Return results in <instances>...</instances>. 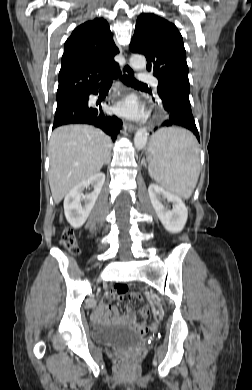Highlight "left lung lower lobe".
<instances>
[{
    "label": "left lung lower lobe",
    "mask_w": 252,
    "mask_h": 390,
    "mask_svg": "<svg viewBox=\"0 0 252 390\" xmlns=\"http://www.w3.org/2000/svg\"><path fill=\"white\" fill-rule=\"evenodd\" d=\"M158 98L164 109L170 114L161 126H181L194 133L200 142L198 130L191 110L189 93L172 87H159ZM156 99V98H154Z\"/></svg>",
    "instance_id": "1"
}]
</instances>
